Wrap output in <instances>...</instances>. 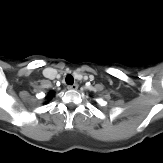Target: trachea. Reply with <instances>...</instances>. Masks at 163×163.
Returning <instances> with one entry per match:
<instances>
[{
	"mask_svg": "<svg viewBox=\"0 0 163 163\" xmlns=\"http://www.w3.org/2000/svg\"><path fill=\"white\" fill-rule=\"evenodd\" d=\"M65 81L67 84L72 85L74 83V78L72 75H67Z\"/></svg>",
	"mask_w": 163,
	"mask_h": 163,
	"instance_id": "trachea-1",
	"label": "trachea"
}]
</instances>
